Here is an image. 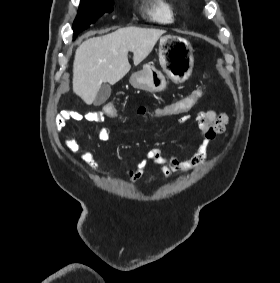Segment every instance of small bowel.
Returning a JSON list of instances; mask_svg holds the SVG:
<instances>
[{
	"label": "small bowel",
	"mask_w": 280,
	"mask_h": 283,
	"mask_svg": "<svg viewBox=\"0 0 280 283\" xmlns=\"http://www.w3.org/2000/svg\"><path fill=\"white\" fill-rule=\"evenodd\" d=\"M155 111L156 110L149 111L145 107H140L137 109L136 114L138 117H141L142 114L154 115ZM187 113L188 112H182V115L179 118L181 122H188L190 120V117L185 116ZM103 118V111H86L83 113L75 112L69 114L68 119H59L58 125L59 127H62L68 120L81 119L91 122H100ZM195 122L199 128L202 141L196 153L192 157L182 160L173 155H166L160 148H152L146 152L145 157L138 162L134 169L124 172L126 179L130 182L139 180L151 164L159 167L165 179L171 178L175 173L189 172L203 165L208 156L210 143L225 132L228 123V116L225 113H218L215 110L201 111L196 114ZM96 134L98 139L102 141L109 140L111 137L110 129L105 126L98 128ZM67 146L69 151L73 154L80 152V146L76 135H72L70 137ZM81 158L92 172L104 173L100 169L97 161L95 160V156L90 149L82 150Z\"/></svg>",
	"instance_id": "1"
}]
</instances>
